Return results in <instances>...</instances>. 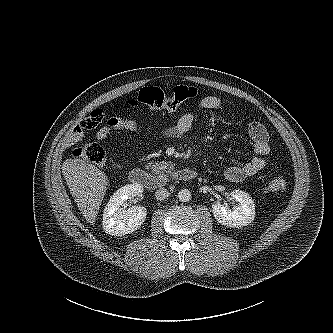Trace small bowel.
Returning <instances> with one entry per match:
<instances>
[{
  "label": "small bowel",
  "mask_w": 333,
  "mask_h": 333,
  "mask_svg": "<svg viewBox=\"0 0 333 333\" xmlns=\"http://www.w3.org/2000/svg\"><path fill=\"white\" fill-rule=\"evenodd\" d=\"M138 100H128L127 105L131 108L138 107ZM222 106V100L215 95H208L201 98L195 109L184 113L178 121L165 128L161 135L164 138H178L187 134L195 121L196 111L202 110H216ZM105 110L97 108L93 110L87 117H85L80 124L75 126L66 138L67 147L78 144L84 135L85 130L93 129L98 126L105 118ZM138 123L132 120L110 118L106 123L97 131V139L103 140L110 136L114 131L120 130H136ZM248 135L253 142L254 156L238 165H230L225 168L224 176L227 180L232 182H239L248 177H251L261 170L266 165V156L270 152L269 134L264 125L259 122H252L248 126Z\"/></svg>",
  "instance_id": "small-bowel-1"
}]
</instances>
